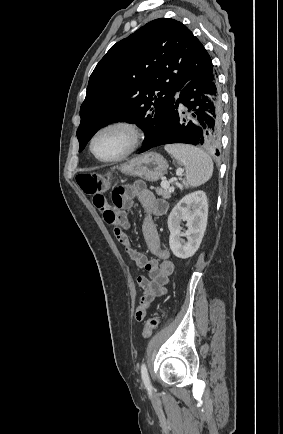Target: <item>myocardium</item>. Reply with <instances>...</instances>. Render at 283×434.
<instances>
[{"label": "myocardium", "instance_id": "f54148a6", "mask_svg": "<svg viewBox=\"0 0 283 434\" xmlns=\"http://www.w3.org/2000/svg\"><path fill=\"white\" fill-rule=\"evenodd\" d=\"M110 129H120L126 132L128 136V146L121 154L117 156L110 157V158L100 157L96 154L94 150L95 140L101 133ZM143 138H144L143 131L137 123L127 119L113 120L103 124L92 134L89 140V150L91 154L100 162H104V163L118 162L125 159L132 153H134L140 147Z\"/></svg>", "mask_w": 283, "mask_h": 434}]
</instances>
